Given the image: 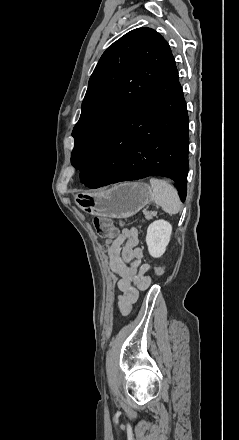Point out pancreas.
Segmentation results:
<instances>
[{"label":"pancreas","instance_id":"1","mask_svg":"<svg viewBox=\"0 0 239 440\" xmlns=\"http://www.w3.org/2000/svg\"><path fill=\"white\" fill-rule=\"evenodd\" d=\"M143 214L146 218V220H151L153 216H156V212H147V210H143Z\"/></svg>","mask_w":239,"mask_h":440}]
</instances>
